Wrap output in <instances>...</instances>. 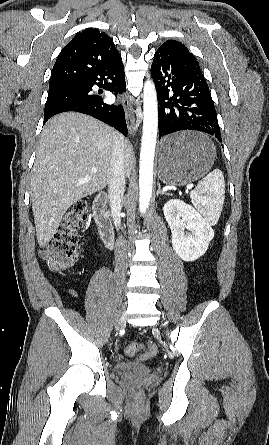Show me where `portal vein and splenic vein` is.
I'll return each mask as SVG.
<instances>
[{"instance_id":"1","label":"portal vein and splenic vein","mask_w":269,"mask_h":445,"mask_svg":"<svg viewBox=\"0 0 269 445\" xmlns=\"http://www.w3.org/2000/svg\"><path fill=\"white\" fill-rule=\"evenodd\" d=\"M91 172L96 173V172H97V168H92V169H91ZM192 187H193L192 184L187 185V190H190Z\"/></svg>"}]
</instances>
